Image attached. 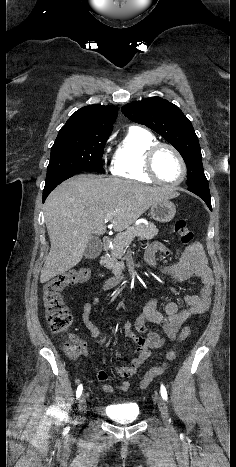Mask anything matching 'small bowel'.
Segmentation results:
<instances>
[{"instance_id": "c3829d8e", "label": "small bowel", "mask_w": 236, "mask_h": 467, "mask_svg": "<svg viewBox=\"0 0 236 467\" xmlns=\"http://www.w3.org/2000/svg\"><path fill=\"white\" fill-rule=\"evenodd\" d=\"M158 252L168 253V250L160 242H153L145 250L144 262L148 267L156 269L164 278L175 282L184 281L191 276H195L200 279L202 287L199 293L185 296V307L182 309H179L177 303L168 302L165 304L164 310L160 311L157 308L156 299L151 296L134 323L126 322L124 324V334L135 343L136 349L129 365L117 367L116 373L121 378L128 379L133 377L148 358L150 349L162 347L165 344L164 336L170 340L176 339L181 326L192 316L207 311L211 303L213 277L206 257L198 244L184 248L179 262L170 266H157L156 256ZM99 302L100 298L96 297L91 302L84 303L81 313L82 322L90 336L96 340V343H102L105 339L91 319L92 308L94 305L99 304ZM150 325L159 326L161 332L151 330ZM133 327L142 333L143 336L136 335L133 332ZM116 359L120 362L123 361V357L120 354L116 355ZM96 376L101 382H105L109 378L108 373L103 369H97ZM117 387L122 391H128L130 383L123 381ZM102 390L112 392L113 387L104 384L102 385Z\"/></svg>"}]
</instances>
